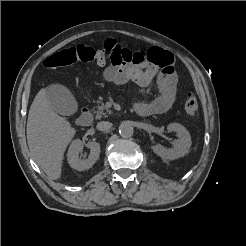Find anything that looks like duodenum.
<instances>
[{
    "mask_svg": "<svg viewBox=\"0 0 246 246\" xmlns=\"http://www.w3.org/2000/svg\"><path fill=\"white\" fill-rule=\"evenodd\" d=\"M92 121V113L87 108H82L77 118V124L80 126H88Z\"/></svg>",
    "mask_w": 246,
    "mask_h": 246,
    "instance_id": "obj_1",
    "label": "duodenum"
}]
</instances>
